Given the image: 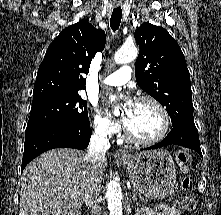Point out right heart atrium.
Masks as SVG:
<instances>
[{
    "mask_svg": "<svg viewBox=\"0 0 221 215\" xmlns=\"http://www.w3.org/2000/svg\"><path fill=\"white\" fill-rule=\"evenodd\" d=\"M93 130L96 134L102 137H110L116 135L120 128L117 123L110 118L102 115L96 109H92Z\"/></svg>",
    "mask_w": 221,
    "mask_h": 215,
    "instance_id": "obj_1",
    "label": "right heart atrium"
}]
</instances>
